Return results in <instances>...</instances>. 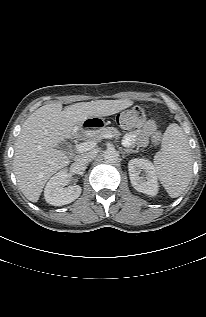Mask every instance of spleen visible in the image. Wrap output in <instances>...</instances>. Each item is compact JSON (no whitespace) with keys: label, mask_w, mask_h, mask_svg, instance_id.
<instances>
[{"label":"spleen","mask_w":206,"mask_h":317,"mask_svg":"<svg viewBox=\"0 0 206 317\" xmlns=\"http://www.w3.org/2000/svg\"><path fill=\"white\" fill-rule=\"evenodd\" d=\"M155 171L170 197H179L192 178L191 149L182 128L173 123L164 133L161 151L154 158Z\"/></svg>","instance_id":"spleen-1"}]
</instances>
